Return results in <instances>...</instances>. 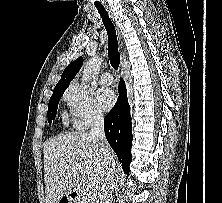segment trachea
Wrapping results in <instances>:
<instances>
[{
    "label": "trachea",
    "mask_w": 222,
    "mask_h": 203,
    "mask_svg": "<svg viewBox=\"0 0 222 203\" xmlns=\"http://www.w3.org/2000/svg\"><path fill=\"white\" fill-rule=\"evenodd\" d=\"M108 34V56L110 64L114 70H117L120 64V55L118 52V42L115 27L102 5H95Z\"/></svg>",
    "instance_id": "3493384b"
}]
</instances>
